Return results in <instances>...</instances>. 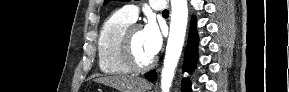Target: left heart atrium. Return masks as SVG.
<instances>
[{
	"instance_id": "39dd6f15",
	"label": "left heart atrium",
	"mask_w": 289,
	"mask_h": 92,
	"mask_svg": "<svg viewBox=\"0 0 289 92\" xmlns=\"http://www.w3.org/2000/svg\"><path fill=\"white\" fill-rule=\"evenodd\" d=\"M143 36L147 51L154 57L162 46V32L155 20H148L143 28Z\"/></svg>"
}]
</instances>
